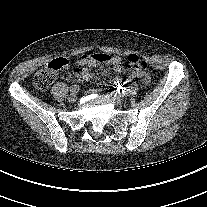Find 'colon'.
Segmentation results:
<instances>
[{
    "instance_id": "colon-1",
    "label": "colon",
    "mask_w": 207,
    "mask_h": 207,
    "mask_svg": "<svg viewBox=\"0 0 207 207\" xmlns=\"http://www.w3.org/2000/svg\"><path fill=\"white\" fill-rule=\"evenodd\" d=\"M98 61H109L112 56L105 53H97L94 55ZM70 64L67 58H56L52 60L46 67L40 69L33 78L34 86L39 90L47 89L56 79V71L68 67ZM126 67L134 71L147 70V62L138 55L131 54L126 58Z\"/></svg>"
}]
</instances>
